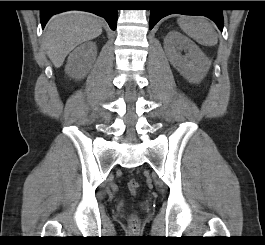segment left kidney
<instances>
[{"instance_id": "1", "label": "left kidney", "mask_w": 265, "mask_h": 245, "mask_svg": "<svg viewBox=\"0 0 265 245\" xmlns=\"http://www.w3.org/2000/svg\"><path fill=\"white\" fill-rule=\"evenodd\" d=\"M164 49L170 63L190 83H199L206 76L211 61L202 50L177 31H170L164 39ZM187 51L185 55L181 51Z\"/></svg>"}]
</instances>
